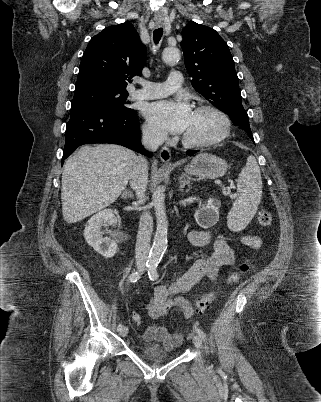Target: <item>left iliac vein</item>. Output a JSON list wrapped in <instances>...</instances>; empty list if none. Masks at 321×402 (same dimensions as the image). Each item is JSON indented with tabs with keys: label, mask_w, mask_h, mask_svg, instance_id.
<instances>
[{
	"label": "left iliac vein",
	"mask_w": 321,
	"mask_h": 402,
	"mask_svg": "<svg viewBox=\"0 0 321 402\" xmlns=\"http://www.w3.org/2000/svg\"><path fill=\"white\" fill-rule=\"evenodd\" d=\"M193 344L197 349H202V340L200 336L198 335L193 336Z\"/></svg>",
	"instance_id": "obj_1"
}]
</instances>
